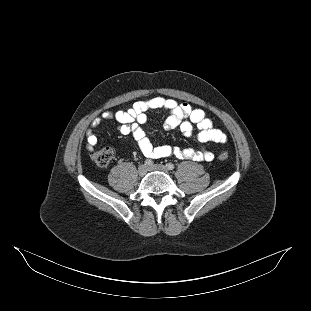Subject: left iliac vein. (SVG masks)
I'll return each mask as SVG.
<instances>
[{"label": "left iliac vein", "instance_id": "left-iliac-vein-1", "mask_svg": "<svg viewBox=\"0 0 311 311\" xmlns=\"http://www.w3.org/2000/svg\"><path fill=\"white\" fill-rule=\"evenodd\" d=\"M148 169L149 171H162V172L168 173L167 167L161 164L151 165Z\"/></svg>", "mask_w": 311, "mask_h": 311}]
</instances>
